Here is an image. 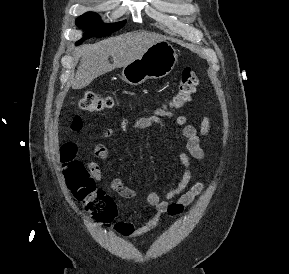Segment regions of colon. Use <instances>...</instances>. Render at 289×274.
Instances as JSON below:
<instances>
[{"label":"colon","instance_id":"5ec220e1","mask_svg":"<svg viewBox=\"0 0 289 274\" xmlns=\"http://www.w3.org/2000/svg\"><path fill=\"white\" fill-rule=\"evenodd\" d=\"M198 85V76L194 69L186 67L181 71L177 91L170 101V107L182 108L188 103ZM81 109L88 112H98L110 108L113 100L95 92L84 95L79 103ZM72 128L81 129V121L76 118ZM76 146L66 142L61 146L60 156L67 185L74 197L83 203L85 210L100 222H110L115 215V205L112 198L96 186L90 171L75 159Z\"/></svg>","mask_w":289,"mask_h":274}]
</instances>
